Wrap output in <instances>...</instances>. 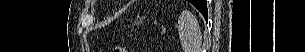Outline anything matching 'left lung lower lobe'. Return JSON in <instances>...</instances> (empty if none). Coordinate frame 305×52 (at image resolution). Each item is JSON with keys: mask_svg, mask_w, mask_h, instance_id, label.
Segmentation results:
<instances>
[{"mask_svg": "<svg viewBox=\"0 0 305 52\" xmlns=\"http://www.w3.org/2000/svg\"><path fill=\"white\" fill-rule=\"evenodd\" d=\"M203 1V6L202 7H196L204 16V18L207 20L208 19V10H207V4H206V0H202Z\"/></svg>", "mask_w": 305, "mask_h": 52, "instance_id": "0a47b994", "label": "left lung lower lobe"}]
</instances>
